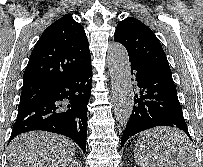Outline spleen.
I'll return each mask as SVG.
<instances>
[{"mask_svg":"<svg viewBox=\"0 0 203 167\" xmlns=\"http://www.w3.org/2000/svg\"><path fill=\"white\" fill-rule=\"evenodd\" d=\"M179 144H183L187 148V152L185 153H180L183 157V161L187 162L186 167H193L194 163V158L192 152H189V146H190V141L185 135H180L179 138L177 139ZM145 146L146 143L143 140V137H141L138 141V144L136 145L135 148V161L138 165L141 167H166V163H164L163 160H159L157 155H156V150L150 151V148L146 146L148 149V154L147 156L144 155L145 151ZM152 153H155L154 155Z\"/></svg>","mask_w":203,"mask_h":167,"instance_id":"3e777b00","label":"spleen"}]
</instances>
